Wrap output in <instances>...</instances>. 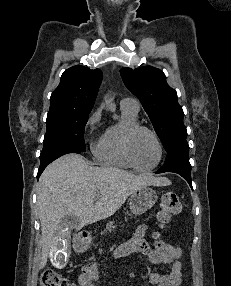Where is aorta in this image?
<instances>
[{
  "instance_id": "1",
  "label": "aorta",
  "mask_w": 231,
  "mask_h": 286,
  "mask_svg": "<svg viewBox=\"0 0 231 286\" xmlns=\"http://www.w3.org/2000/svg\"><path fill=\"white\" fill-rule=\"evenodd\" d=\"M105 102L107 103V108L111 111V112H115V105L113 104V99L111 98V96L108 94L105 96Z\"/></svg>"
}]
</instances>
